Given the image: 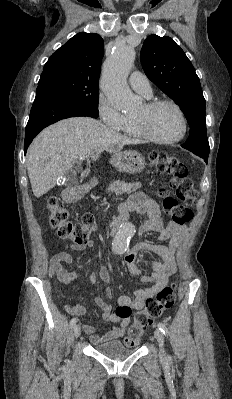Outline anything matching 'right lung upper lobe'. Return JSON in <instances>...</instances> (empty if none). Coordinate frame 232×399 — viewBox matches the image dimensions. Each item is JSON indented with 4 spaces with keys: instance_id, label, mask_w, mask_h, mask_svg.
I'll list each match as a JSON object with an SVG mask.
<instances>
[{
    "instance_id": "1",
    "label": "right lung upper lobe",
    "mask_w": 232,
    "mask_h": 399,
    "mask_svg": "<svg viewBox=\"0 0 232 399\" xmlns=\"http://www.w3.org/2000/svg\"><path fill=\"white\" fill-rule=\"evenodd\" d=\"M104 41L94 33H78L60 47L44 65L40 80L67 78L98 84Z\"/></svg>"
}]
</instances>
